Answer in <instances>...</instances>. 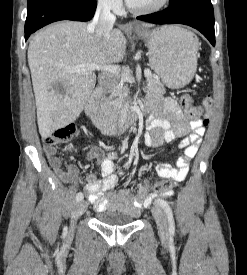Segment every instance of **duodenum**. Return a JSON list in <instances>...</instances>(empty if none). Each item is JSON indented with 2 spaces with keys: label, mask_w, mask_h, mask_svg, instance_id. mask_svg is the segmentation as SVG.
Instances as JSON below:
<instances>
[{
  "label": "duodenum",
  "mask_w": 247,
  "mask_h": 275,
  "mask_svg": "<svg viewBox=\"0 0 247 275\" xmlns=\"http://www.w3.org/2000/svg\"><path fill=\"white\" fill-rule=\"evenodd\" d=\"M104 91L96 90L88 99L85 106L86 115L106 134H118L136 123L141 115L138 107L130 110L123 121L109 114L103 107Z\"/></svg>",
  "instance_id": "1"
}]
</instances>
